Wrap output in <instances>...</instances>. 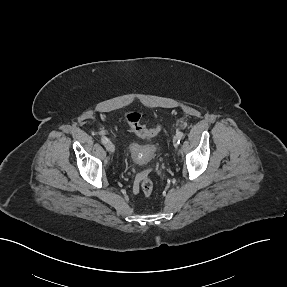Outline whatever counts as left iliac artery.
Instances as JSON below:
<instances>
[{
	"label": "left iliac artery",
	"instance_id": "44dca946",
	"mask_svg": "<svg viewBox=\"0 0 287 287\" xmlns=\"http://www.w3.org/2000/svg\"><path fill=\"white\" fill-rule=\"evenodd\" d=\"M176 136H177V141H178V143H180V140L183 138L184 133H183V132H177V133H176Z\"/></svg>",
	"mask_w": 287,
	"mask_h": 287
}]
</instances>
